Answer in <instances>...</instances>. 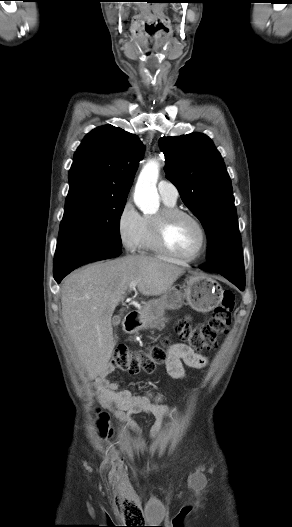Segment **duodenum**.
<instances>
[{
	"label": "duodenum",
	"instance_id": "obj_1",
	"mask_svg": "<svg viewBox=\"0 0 292 527\" xmlns=\"http://www.w3.org/2000/svg\"><path fill=\"white\" fill-rule=\"evenodd\" d=\"M139 323V315L137 312H130L127 314L124 322V328L127 332L134 331Z\"/></svg>",
	"mask_w": 292,
	"mask_h": 527
}]
</instances>
